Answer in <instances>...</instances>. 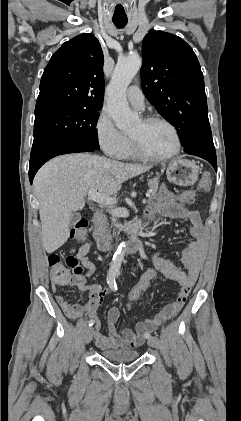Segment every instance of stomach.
<instances>
[{
	"mask_svg": "<svg viewBox=\"0 0 241 421\" xmlns=\"http://www.w3.org/2000/svg\"><path fill=\"white\" fill-rule=\"evenodd\" d=\"M167 178L181 186H187L194 184L199 175L198 166L187 159H176L172 160L166 166Z\"/></svg>",
	"mask_w": 241,
	"mask_h": 421,
	"instance_id": "stomach-1",
	"label": "stomach"
}]
</instances>
